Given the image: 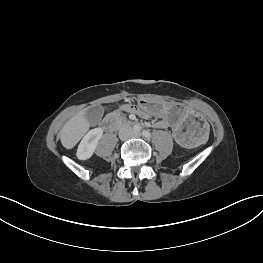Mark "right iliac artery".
<instances>
[{"label": "right iliac artery", "instance_id": "obj_1", "mask_svg": "<svg viewBox=\"0 0 263 263\" xmlns=\"http://www.w3.org/2000/svg\"><path fill=\"white\" fill-rule=\"evenodd\" d=\"M135 130H136V131H140V130H141V127H140V126H136V127H135Z\"/></svg>", "mask_w": 263, "mask_h": 263}]
</instances>
